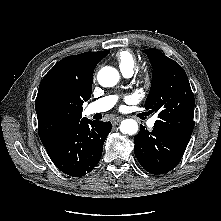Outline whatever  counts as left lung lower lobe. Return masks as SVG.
<instances>
[{"mask_svg":"<svg viewBox=\"0 0 221 221\" xmlns=\"http://www.w3.org/2000/svg\"><path fill=\"white\" fill-rule=\"evenodd\" d=\"M190 137L166 132L154 125L149 132L141 125L134 137V152L140 165L152 174L171 171L181 160Z\"/></svg>","mask_w":221,"mask_h":221,"instance_id":"obj_1","label":"left lung lower lobe"}]
</instances>
